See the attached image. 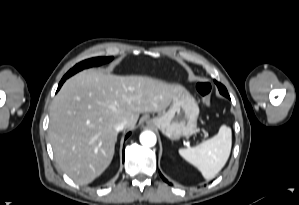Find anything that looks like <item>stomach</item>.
<instances>
[{
  "label": "stomach",
  "instance_id": "0dacf381",
  "mask_svg": "<svg viewBox=\"0 0 299 205\" xmlns=\"http://www.w3.org/2000/svg\"><path fill=\"white\" fill-rule=\"evenodd\" d=\"M199 107L194 97L185 89L172 100L167 111L148 120L169 139L190 136L196 132Z\"/></svg>",
  "mask_w": 299,
  "mask_h": 205
}]
</instances>
